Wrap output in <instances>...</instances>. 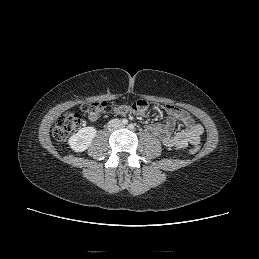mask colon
<instances>
[{
  "instance_id": "1",
  "label": "colon",
  "mask_w": 259,
  "mask_h": 259,
  "mask_svg": "<svg viewBox=\"0 0 259 259\" xmlns=\"http://www.w3.org/2000/svg\"><path fill=\"white\" fill-rule=\"evenodd\" d=\"M107 109L106 102H89L82 106V110L87 114L91 122L98 121L104 111ZM148 103L145 100H138L131 105H118L113 107L115 114L123 115L130 111L132 112H146ZM82 124L80 114L75 112H65L58 116L53 128V136L57 141H65L68 136L78 129ZM199 151V146L195 145L190 149L191 154H196Z\"/></svg>"
}]
</instances>
